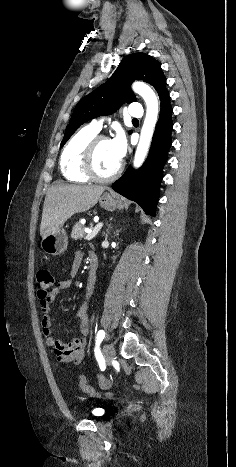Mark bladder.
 Returning <instances> with one entry per match:
<instances>
[{
    "label": "bladder",
    "mask_w": 236,
    "mask_h": 467,
    "mask_svg": "<svg viewBox=\"0 0 236 467\" xmlns=\"http://www.w3.org/2000/svg\"><path fill=\"white\" fill-rule=\"evenodd\" d=\"M105 414V411L104 410H101V408H94L92 410V415L96 418H100L102 417L103 415Z\"/></svg>",
    "instance_id": "obj_1"
}]
</instances>
